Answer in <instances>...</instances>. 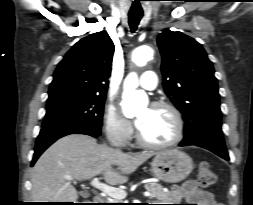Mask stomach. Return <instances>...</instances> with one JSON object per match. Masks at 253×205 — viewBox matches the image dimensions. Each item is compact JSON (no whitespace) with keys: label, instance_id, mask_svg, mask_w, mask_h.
<instances>
[{"label":"stomach","instance_id":"obj_1","mask_svg":"<svg viewBox=\"0 0 253 205\" xmlns=\"http://www.w3.org/2000/svg\"><path fill=\"white\" fill-rule=\"evenodd\" d=\"M151 167L158 179L176 183L192 172L193 162L186 153L173 149L158 153L152 160Z\"/></svg>","mask_w":253,"mask_h":205}]
</instances>
